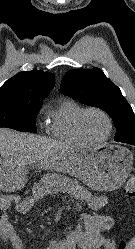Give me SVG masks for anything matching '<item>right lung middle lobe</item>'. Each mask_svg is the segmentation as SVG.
<instances>
[{
  "instance_id": "1",
  "label": "right lung middle lobe",
  "mask_w": 135,
  "mask_h": 249,
  "mask_svg": "<svg viewBox=\"0 0 135 249\" xmlns=\"http://www.w3.org/2000/svg\"><path fill=\"white\" fill-rule=\"evenodd\" d=\"M42 102L0 95V127L36 133L35 119Z\"/></svg>"
}]
</instances>
